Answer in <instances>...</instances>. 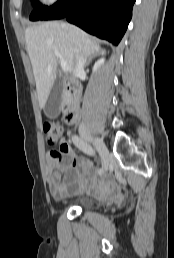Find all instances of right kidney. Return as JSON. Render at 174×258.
<instances>
[{"label":"right kidney","mask_w":174,"mask_h":258,"mask_svg":"<svg viewBox=\"0 0 174 258\" xmlns=\"http://www.w3.org/2000/svg\"><path fill=\"white\" fill-rule=\"evenodd\" d=\"M105 62L104 58L99 59L93 66V72H96Z\"/></svg>","instance_id":"ca27d5eb"}]
</instances>
